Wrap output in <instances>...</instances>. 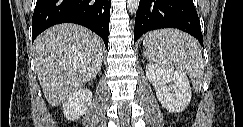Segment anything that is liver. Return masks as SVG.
Returning a JSON list of instances; mask_svg holds the SVG:
<instances>
[{
    "instance_id": "liver-1",
    "label": "liver",
    "mask_w": 243,
    "mask_h": 127,
    "mask_svg": "<svg viewBox=\"0 0 243 127\" xmlns=\"http://www.w3.org/2000/svg\"><path fill=\"white\" fill-rule=\"evenodd\" d=\"M35 66L45 99L59 106L100 71L103 43L76 24L53 26L34 42Z\"/></svg>"
}]
</instances>
